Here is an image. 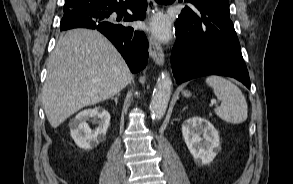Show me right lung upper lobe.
Masks as SVG:
<instances>
[{"label":"right lung upper lobe","mask_w":293,"mask_h":184,"mask_svg":"<svg viewBox=\"0 0 293 184\" xmlns=\"http://www.w3.org/2000/svg\"><path fill=\"white\" fill-rule=\"evenodd\" d=\"M94 1L96 0H65L64 13L74 9L82 8L83 6L88 5Z\"/></svg>","instance_id":"right-lung-upper-lobe-1"}]
</instances>
